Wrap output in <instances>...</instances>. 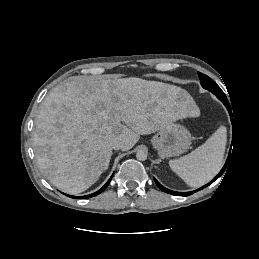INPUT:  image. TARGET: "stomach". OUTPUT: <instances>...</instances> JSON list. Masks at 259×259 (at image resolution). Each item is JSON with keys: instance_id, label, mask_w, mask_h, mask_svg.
Listing matches in <instances>:
<instances>
[{"instance_id": "1", "label": "stomach", "mask_w": 259, "mask_h": 259, "mask_svg": "<svg viewBox=\"0 0 259 259\" xmlns=\"http://www.w3.org/2000/svg\"><path fill=\"white\" fill-rule=\"evenodd\" d=\"M151 144L161 158L182 154L191 144V134L182 125L171 123L162 127L151 139Z\"/></svg>"}]
</instances>
